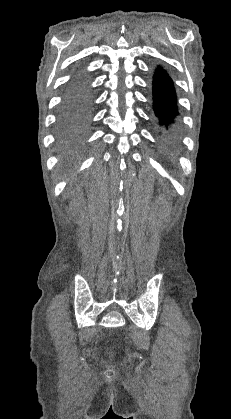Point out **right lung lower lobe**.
<instances>
[{"instance_id": "98d812e1", "label": "right lung lower lobe", "mask_w": 231, "mask_h": 419, "mask_svg": "<svg viewBox=\"0 0 231 419\" xmlns=\"http://www.w3.org/2000/svg\"><path fill=\"white\" fill-rule=\"evenodd\" d=\"M92 94L90 89L74 80L66 89L59 115L62 140L79 144L89 130Z\"/></svg>"}]
</instances>
